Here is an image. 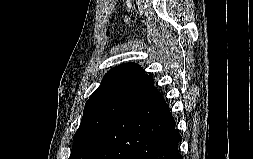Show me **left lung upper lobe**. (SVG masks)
I'll use <instances>...</instances> for the list:
<instances>
[{"label": "left lung upper lobe", "mask_w": 253, "mask_h": 159, "mask_svg": "<svg viewBox=\"0 0 253 159\" xmlns=\"http://www.w3.org/2000/svg\"><path fill=\"white\" fill-rule=\"evenodd\" d=\"M153 84L151 76L135 63L109 70L85 105L69 159H90L110 123Z\"/></svg>", "instance_id": "left-lung-upper-lobe-1"}]
</instances>
